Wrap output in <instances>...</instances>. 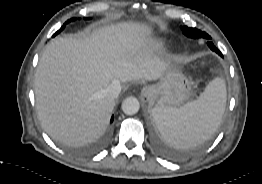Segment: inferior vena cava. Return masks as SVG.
I'll return each mask as SVG.
<instances>
[{"label":"inferior vena cava","mask_w":262,"mask_h":184,"mask_svg":"<svg viewBox=\"0 0 262 184\" xmlns=\"http://www.w3.org/2000/svg\"><path fill=\"white\" fill-rule=\"evenodd\" d=\"M121 89L122 87L120 83L115 82L108 86V88L106 89V94L111 98H117L121 92Z\"/></svg>","instance_id":"obj_1"}]
</instances>
